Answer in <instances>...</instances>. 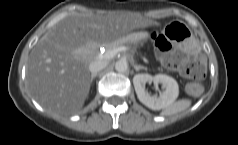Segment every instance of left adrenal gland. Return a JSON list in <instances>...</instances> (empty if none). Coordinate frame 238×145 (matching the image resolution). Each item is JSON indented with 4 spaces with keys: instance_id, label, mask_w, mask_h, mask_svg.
Returning a JSON list of instances; mask_svg holds the SVG:
<instances>
[{
    "instance_id": "a2214340",
    "label": "left adrenal gland",
    "mask_w": 238,
    "mask_h": 145,
    "mask_svg": "<svg viewBox=\"0 0 238 145\" xmlns=\"http://www.w3.org/2000/svg\"><path fill=\"white\" fill-rule=\"evenodd\" d=\"M133 66H134V69H135L136 71H139V70H141V69H143V70H147L146 67L141 66V65L134 64Z\"/></svg>"
}]
</instances>
